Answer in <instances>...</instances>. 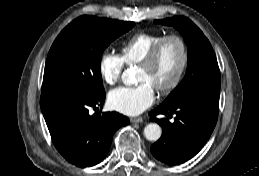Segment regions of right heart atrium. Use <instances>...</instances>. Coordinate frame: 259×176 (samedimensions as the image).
<instances>
[{"label": "right heart atrium", "mask_w": 259, "mask_h": 176, "mask_svg": "<svg viewBox=\"0 0 259 176\" xmlns=\"http://www.w3.org/2000/svg\"><path fill=\"white\" fill-rule=\"evenodd\" d=\"M124 69V62L121 56L112 53L104 52L98 62V72L107 85H115L121 78Z\"/></svg>", "instance_id": "d8ad5b80"}]
</instances>
